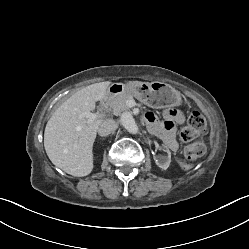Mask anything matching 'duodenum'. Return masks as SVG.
Listing matches in <instances>:
<instances>
[{"label":"duodenum","instance_id":"410a0bca","mask_svg":"<svg viewBox=\"0 0 249 249\" xmlns=\"http://www.w3.org/2000/svg\"><path fill=\"white\" fill-rule=\"evenodd\" d=\"M113 95H115V94H112V93H110L109 91L104 95V97L101 99V101H100V106L101 107H104L106 104H107V102L111 99V97L113 96Z\"/></svg>","mask_w":249,"mask_h":249}]
</instances>
